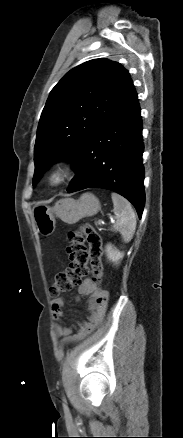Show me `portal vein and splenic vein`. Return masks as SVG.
I'll return each instance as SVG.
<instances>
[{"mask_svg": "<svg viewBox=\"0 0 183 438\" xmlns=\"http://www.w3.org/2000/svg\"><path fill=\"white\" fill-rule=\"evenodd\" d=\"M111 222H113V219H111ZM100 225H105L106 223L103 220H98L97 222Z\"/></svg>", "mask_w": 183, "mask_h": 438, "instance_id": "1", "label": "portal vein and splenic vein"}]
</instances>
